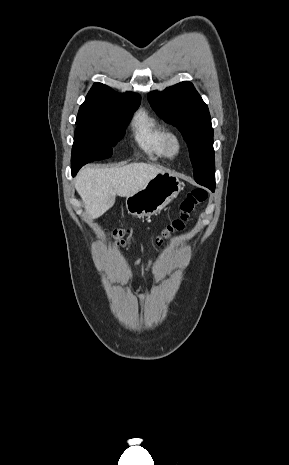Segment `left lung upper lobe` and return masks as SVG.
<instances>
[{
  "label": "left lung upper lobe",
  "mask_w": 289,
  "mask_h": 465,
  "mask_svg": "<svg viewBox=\"0 0 289 465\" xmlns=\"http://www.w3.org/2000/svg\"><path fill=\"white\" fill-rule=\"evenodd\" d=\"M152 108L182 133L189 147L195 181L215 188L213 128L207 105L192 83L184 81L148 95Z\"/></svg>",
  "instance_id": "left-lung-upper-lobe-1"
}]
</instances>
